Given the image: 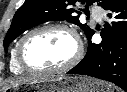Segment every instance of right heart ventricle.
Masks as SVG:
<instances>
[{
    "mask_svg": "<svg viewBox=\"0 0 127 92\" xmlns=\"http://www.w3.org/2000/svg\"><path fill=\"white\" fill-rule=\"evenodd\" d=\"M17 44L14 46V48L12 49V52H11V56H10V70H11V72H13L15 74H23L24 70L19 66V64L17 63V59H16V47H17Z\"/></svg>",
    "mask_w": 127,
    "mask_h": 92,
    "instance_id": "1",
    "label": "right heart ventricle"
}]
</instances>
